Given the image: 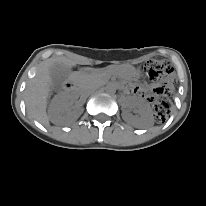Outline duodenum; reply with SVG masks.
<instances>
[{
  "mask_svg": "<svg viewBox=\"0 0 206 206\" xmlns=\"http://www.w3.org/2000/svg\"><path fill=\"white\" fill-rule=\"evenodd\" d=\"M76 87H77L76 82L73 79L68 80L64 85V88L67 91H73L76 89Z\"/></svg>",
  "mask_w": 206,
  "mask_h": 206,
  "instance_id": "1",
  "label": "duodenum"
}]
</instances>
